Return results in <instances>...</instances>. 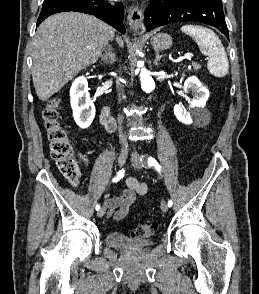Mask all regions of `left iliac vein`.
<instances>
[{
	"mask_svg": "<svg viewBox=\"0 0 259 294\" xmlns=\"http://www.w3.org/2000/svg\"><path fill=\"white\" fill-rule=\"evenodd\" d=\"M141 159H143V158L140 157L137 153H133L131 156L132 165L137 169H141L145 165V161L144 160L141 161ZM160 207L163 212L168 211V205L165 200L161 201Z\"/></svg>",
	"mask_w": 259,
	"mask_h": 294,
	"instance_id": "left-iliac-vein-1",
	"label": "left iliac vein"
}]
</instances>
